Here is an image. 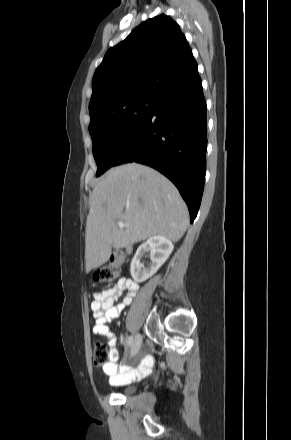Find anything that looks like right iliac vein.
Here are the masks:
<instances>
[{
  "label": "right iliac vein",
  "instance_id": "obj_1",
  "mask_svg": "<svg viewBox=\"0 0 291 440\" xmlns=\"http://www.w3.org/2000/svg\"><path fill=\"white\" fill-rule=\"evenodd\" d=\"M141 344H142V336L140 334H137L131 347V356H134L138 352V350L141 347Z\"/></svg>",
  "mask_w": 291,
  "mask_h": 440
}]
</instances>
